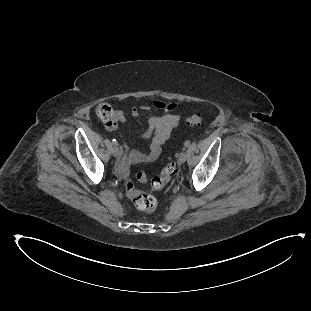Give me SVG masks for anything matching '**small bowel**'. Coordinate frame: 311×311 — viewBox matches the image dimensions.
Segmentation results:
<instances>
[{
    "instance_id": "c3829d8e",
    "label": "small bowel",
    "mask_w": 311,
    "mask_h": 311,
    "mask_svg": "<svg viewBox=\"0 0 311 311\" xmlns=\"http://www.w3.org/2000/svg\"><path fill=\"white\" fill-rule=\"evenodd\" d=\"M176 104L173 102H165L161 100L153 101L151 104H143L139 107L130 106L123 111H119V122H125L128 118H137L140 113H150L152 110H160L163 112L161 116L151 115L148 118V128L142 134L141 138L148 142L149 151L142 152L132 150L123 140L122 159L124 164L150 163L155 161L161 153L162 146L168 139L171 131L179 122V117L174 114ZM112 128L111 130H116Z\"/></svg>"
}]
</instances>
